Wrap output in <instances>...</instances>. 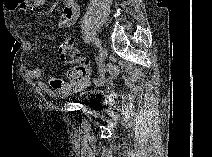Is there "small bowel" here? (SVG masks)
<instances>
[{"instance_id": "small-bowel-1", "label": "small bowel", "mask_w": 212, "mask_h": 157, "mask_svg": "<svg viewBox=\"0 0 212 157\" xmlns=\"http://www.w3.org/2000/svg\"><path fill=\"white\" fill-rule=\"evenodd\" d=\"M34 1L33 4H36ZM32 6V3L28 0H6L5 7L7 10L14 12L18 10H28ZM79 15V6L74 0H66L63 4L62 13L59 19V25L62 28H70L74 25ZM33 43L31 41L26 42L27 50H31ZM90 72V71H89ZM27 77L36 81L38 85L46 90L48 93L54 96H65L71 92L84 87L87 78L80 80L74 76V70L68 72L67 78H59L52 76L49 79V83L46 84L41 81L43 76V70L40 67H34L27 70ZM89 76V75H88Z\"/></svg>"}]
</instances>
